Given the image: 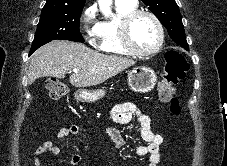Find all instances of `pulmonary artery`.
Returning <instances> with one entry per match:
<instances>
[{"label": "pulmonary artery", "instance_id": "e3ab8cb5", "mask_svg": "<svg viewBox=\"0 0 227 166\" xmlns=\"http://www.w3.org/2000/svg\"><path fill=\"white\" fill-rule=\"evenodd\" d=\"M115 2L131 5V6L137 5V0H115Z\"/></svg>", "mask_w": 227, "mask_h": 166}]
</instances>
